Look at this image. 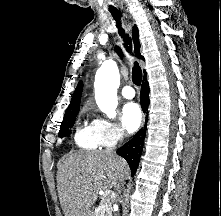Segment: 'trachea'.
Returning <instances> with one entry per match:
<instances>
[{
    "mask_svg": "<svg viewBox=\"0 0 221 216\" xmlns=\"http://www.w3.org/2000/svg\"><path fill=\"white\" fill-rule=\"evenodd\" d=\"M110 12L113 15L114 19L116 20L118 26H120V13L117 10H111ZM119 34L121 35V37H123L125 43L124 46L127 49V51L131 52L132 43L130 37H128V35L125 34L124 30L121 27L119 28ZM132 81L137 86H139L142 81V70L136 62L133 67Z\"/></svg>",
    "mask_w": 221,
    "mask_h": 216,
    "instance_id": "trachea-1",
    "label": "trachea"
}]
</instances>
